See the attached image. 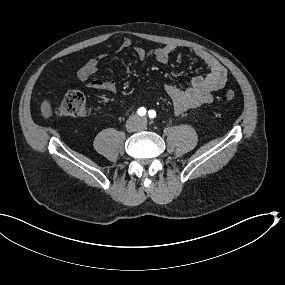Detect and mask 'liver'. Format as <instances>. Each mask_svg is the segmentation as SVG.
Returning a JSON list of instances; mask_svg holds the SVG:
<instances>
[{"label": "liver", "instance_id": "obj_1", "mask_svg": "<svg viewBox=\"0 0 285 285\" xmlns=\"http://www.w3.org/2000/svg\"><path fill=\"white\" fill-rule=\"evenodd\" d=\"M41 113L44 118H49L52 116L51 105L48 101H43L41 104Z\"/></svg>", "mask_w": 285, "mask_h": 285}]
</instances>
